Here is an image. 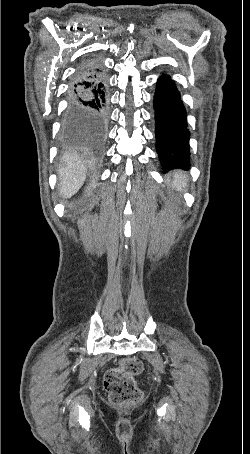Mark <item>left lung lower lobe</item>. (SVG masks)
<instances>
[{
	"mask_svg": "<svg viewBox=\"0 0 250 454\" xmlns=\"http://www.w3.org/2000/svg\"><path fill=\"white\" fill-rule=\"evenodd\" d=\"M155 109L156 150L163 172L190 168L187 115L181 96L169 76L157 81L153 101Z\"/></svg>",
	"mask_w": 250,
	"mask_h": 454,
	"instance_id": "left-lung-lower-lobe-1",
	"label": "left lung lower lobe"
}]
</instances>
